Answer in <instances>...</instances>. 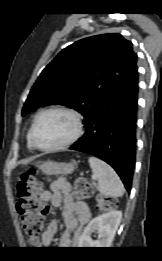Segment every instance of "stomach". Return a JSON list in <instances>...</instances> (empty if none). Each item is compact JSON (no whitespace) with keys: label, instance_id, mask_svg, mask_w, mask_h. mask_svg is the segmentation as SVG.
<instances>
[{"label":"stomach","instance_id":"0dacf381","mask_svg":"<svg viewBox=\"0 0 162 261\" xmlns=\"http://www.w3.org/2000/svg\"><path fill=\"white\" fill-rule=\"evenodd\" d=\"M38 168L42 173L47 175H57V174H71L75 166L73 163L65 162H55V161H46L43 162Z\"/></svg>","mask_w":162,"mask_h":261}]
</instances>
